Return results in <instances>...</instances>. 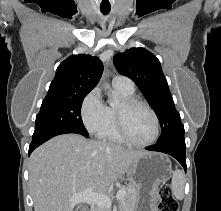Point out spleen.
I'll use <instances>...</instances> for the list:
<instances>
[{
    "label": "spleen",
    "instance_id": "spleen-1",
    "mask_svg": "<svg viewBox=\"0 0 221 211\" xmlns=\"http://www.w3.org/2000/svg\"><path fill=\"white\" fill-rule=\"evenodd\" d=\"M185 177L184 173L177 169L172 173V193L178 200L184 197Z\"/></svg>",
    "mask_w": 221,
    "mask_h": 211
}]
</instances>
